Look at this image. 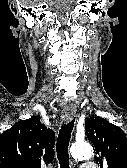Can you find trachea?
<instances>
[{"label": "trachea", "mask_w": 127, "mask_h": 168, "mask_svg": "<svg viewBox=\"0 0 127 168\" xmlns=\"http://www.w3.org/2000/svg\"><path fill=\"white\" fill-rule=\"evenodd\" d=\"M74 122L75 119H72L67 124H64L59 131L56 144V152L60 168H69L68 146L71 138V133L74 127Z\"/></svg>", "instance_id": "3493384b"}]
</instances>
